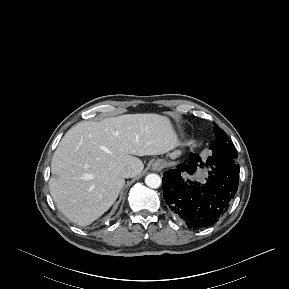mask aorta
<instances>
[{
    "instance_id": "obj_1",
    "label": "aorta",
    "mask_w": 289,
    "mask_h": 289,
    "mask_svg": "<svg viewBox=\"0 0 289 289\" xmlns=\"http://www.w3.org/2000/svg\"><path fill=\"white\" fill-rule=\"evenodd\" d=\"M145 184L150 188H158L161 185V178L157 174H149L145 177Z\"/></svg>"
}]
</instances>
